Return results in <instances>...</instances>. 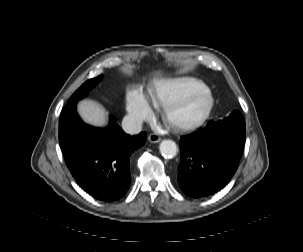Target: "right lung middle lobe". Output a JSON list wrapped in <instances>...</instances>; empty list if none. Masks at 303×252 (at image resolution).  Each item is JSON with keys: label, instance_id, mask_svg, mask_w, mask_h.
<instances>
[{"label": "right lung middle lobe", "instance_id": "1", "mask_svg": "<svg viewBox=\"0 0 303 252\" xmlns=\"http://www.w3.org/2000/svg\"><path fill=\"white\" fill-rule=\"evenodd\" d=\"M102 76H98L96 78H92L86 81L69 99L68 102L78 101L87 95V92L91 90L100 80Z\"/></svg>", "mask_w": 303, "mask_h": 252}]
</instances>
